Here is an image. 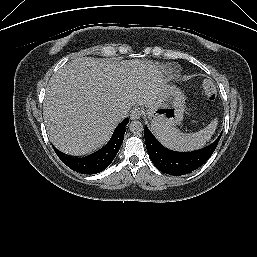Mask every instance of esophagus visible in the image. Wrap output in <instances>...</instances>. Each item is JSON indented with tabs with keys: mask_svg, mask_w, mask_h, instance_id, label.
I'll return each mask as SVG.
<instances>
[{
	"mask_svg": "<svg viewBox=\"0 0 257 257\" xmlns=\"http://www.w3.org/2000/svg\"><path fill=\"white\" fill-rule=\"evenodd\" d=\"M142 114H143V111L139 107H135L130 112V118L132 120L140 119Z\"/></svg>",
	"mask_w": 257,
	"mask_h": 257,
	"instance_id": "34e87169",
	"label": "esophagus"
}]
</instances>
